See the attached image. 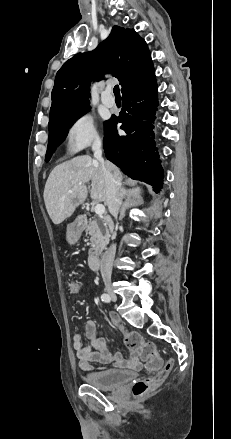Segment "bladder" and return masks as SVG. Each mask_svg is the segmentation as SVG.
Listing matches in <instances>:
<instances>
[{"instance_id":"bladder-1","label":"bladder","mask_w":231,"mask_h":439,"mask_svg":"<svg viewBox=\"0 0 231 439\" xmlns=\"http://www.w3.org/2000/svg\"><path fill=\"white\" fill-rule=\"evenodd\" d=\"M136 376L133 371L103 370L87 372L83 376L86 384L101 390H112L127 383Z\"/></svg>"}]
</instances>
